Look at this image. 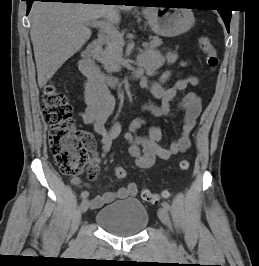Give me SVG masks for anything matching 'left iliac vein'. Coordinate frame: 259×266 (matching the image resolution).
Instances as JSON below:
<instances>
[{"instance_id": "obj_1", "label": "left iliac vein", "mask_w": 259, "mask_h": 266, "mask_svg": "<svg viewBox=\"0 0 259 266\" xmlns=\"http://www.w3.org/2000/svg\"><path fill=\"white\" fill-rule=\"evenodd\" d=\"M157 213H158V217L161 220V222L164 225L168 226L170 224V218H169L167 210L164 208H159Z\"/></svg>"}]
</instances>
